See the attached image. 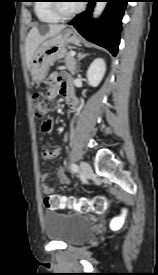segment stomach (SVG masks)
Wrapping results in <instances>:
<instances>
[{"label":"stomach","mask_w":158,"mask_h":275,"mask_svg":"<svg viewBox=\"0 0 158 275\" xmlns=\"http://www.w3.org/2000/svg\"><path fill=\"white\" fill-rule=\"evenodd\" d=\"M80 37L74 29H64L57 35L44 41L35 52L30 72L35 83L39 84L45 79L50 66L67 55L69 44L79 45Z\"/></svg>","instance_id":"stomach-1"}]
</instances>
